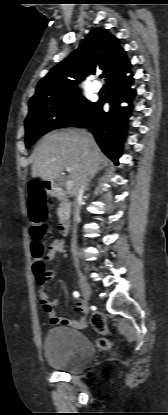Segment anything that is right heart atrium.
Instances as JSON below:
<instances>
[{"mask_svg": "<svg viewBox=\"0 0 168 415\" xmlns=\"http://www.w3.org/2000/svg\"><path fill=\"white\" fill-rule=\"evenodd\" d=\"M81 110H82V107H81V106H79V105H74V106L71 108V114H72L73 116H78V115L81 113Z\"/></svg>", "mask_w": 168, "mask_h": 415, "instance_id": "right-heart-atrium-1", "label": "right heart atrium"}]
</instances>
